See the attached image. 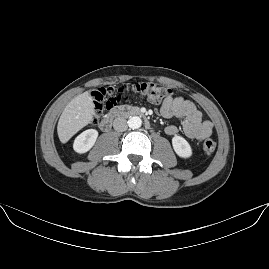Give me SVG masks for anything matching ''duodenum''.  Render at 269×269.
Returning a JSON list of instances; mask_svg holds the SVG:
<instances>
[{"label":"duodenum","instance_id":"1","mask_svg":"<svg viewBox=\"0 0 269 269\" xmlns=\"http://www.w3.org/2000/svg\"><path fill=\"white\" fill-rule=\"evenodd\" d=\"M125 116H139L144 118L146 128L151 127L150 121L147 119L146 114L137 107L133 106H120L112 108L108 114H106L100 122V128L103 131H109L112 128L114 121L117 118Z\"/></svg>","mask_w":269,"mask_h":269}]
</instances>
